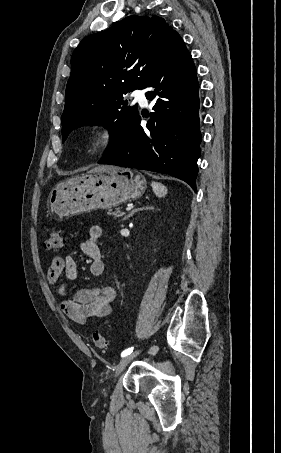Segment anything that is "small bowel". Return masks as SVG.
<instances>
[{"label": "small bowel", "mask_w": 281, "mask_h": 453, "mask_svg": "<svg viewBox=\"0 0 281 453\" xmlns=\"http://www.w3.org/2000/svg\"><path fill=\"white\" fill-rule=\"evenodd\" d=\"M102 233L101 226H91L87 238L81 244V250L91 258L88 273L93 277H101L105 272V264L98 242ZM62 272L68 279H75L78 276L74 258L69 255H53L50 267L46 272V280L64 295L69 288L66 282L61 281ZM115 300L116 293L107 287L81 288L71 299L61 303V309L72 321L78 325H84L89 319L106 316Z\"/></svg>", "instance_id": "obj_1"}]
</instances>
